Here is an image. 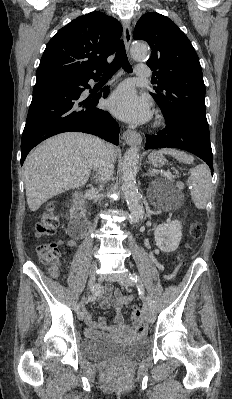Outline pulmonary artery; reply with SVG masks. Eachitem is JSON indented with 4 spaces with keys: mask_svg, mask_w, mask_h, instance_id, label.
<instances>
[{
    "mask_svg": "<svg viewBox=\"0 0 232 399\" xmlns=\"http://www.w3.org/2000/svg\"><path fill=\"white\" fill-rule=\"evenodd\" d=\"M148 68H149L148 63L137 64V69L139 70L137 75L138 80H151L153 71L152 69Z\"/></svg>",
    "mask_w": 232,
    "mask_h": 399,
    "instance_id": "pulmonary-artery-1",
    "label": "pulmonary artery"
}]
</instances>
